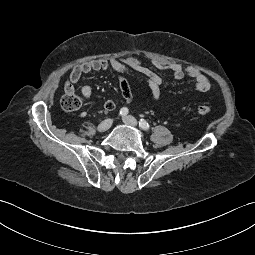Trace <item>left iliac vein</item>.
<instances>
[{
    "label": "left iliac vein",
    "mask_w": 255,
    "mask_h": 255,
    "mask_svg": "<svg viewBox=\"0 0 255 255\" xmlns=\"http://www.w3.org/2000/svg\"><path fill=\"white\" fill-rule=\"evenodd\" d=\"M122 120H123V122L125 124L130 125V126H134L135 127L138 124L137 120L134 117L130 116V115L124 116L122 118Z\"/></svg>",
    "instance_id": "left-iliac-vein-1"
}]
</instances>
